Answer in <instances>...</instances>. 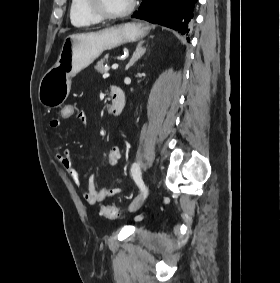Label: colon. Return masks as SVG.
<instances>
[{"label": "colon", "instance_id": "colon-1", "mask_svg": "<svg viewBox=\"0 0 280 283\" xmlns=\"http://www.w3.org/2000/svg\"><path fill=\"white\" fill-rule=\"evenodd\" d=\"M75 112H78V107H76L75 103H62L59 109V118L73 119ZM102 213L105 218L115 220L119 215V209L115 206H105Z\"/></svg>", "mask_w": 280, "mask_h": 283}]
</instances>
